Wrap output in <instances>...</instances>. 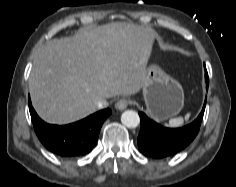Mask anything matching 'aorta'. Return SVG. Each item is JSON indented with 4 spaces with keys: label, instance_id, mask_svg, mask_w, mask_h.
Segmentation results:
<instances>
[{
    "label": "aorta",
    "instance_id": "obj_1",
    "mask_svg": "<svg viewBox=\"0 0 236 187\" xmlns=\"http://www.w3.org/2000/svg\"><path fill=\"white\" fill-rule=\"evenodd\" d=\"M121 122L128 128H136L140 123V117L136 111L127 110L122 113Z\"/></svg>",
    "mask_w": 236,
    "mask_h": 187
}]
</instances>
